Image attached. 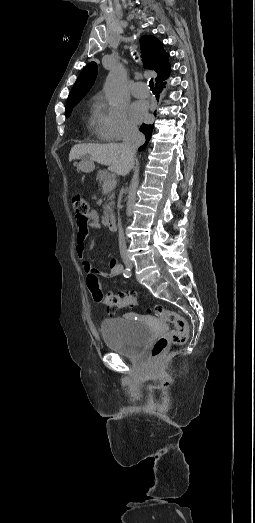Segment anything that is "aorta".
Segmentation results:
<instances>
[{"instance_id":"obj_1","label":"aorta","mask_w":255,"mask_h":523,"mask_svg":"<svg viewBox=\"0 0 255 523\" xmlns=\"http://www.w3.org/2000/svg\"><path fill=\"white\" fill-rule=\"evenodd\" d=\"M125 72L121 65L111 70L104 85L106 99L110 105H117L123 95Z\"/></svg>"}]
</instances>
